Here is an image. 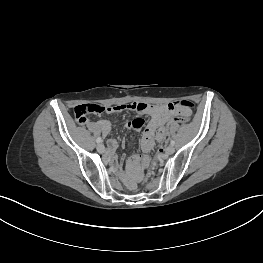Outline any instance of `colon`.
<instances>
[{"mask_svg": "<svg viewBox=\"0 0 263 263\" xmlns=\"http://www.w3.org/2000/svg\"><path fill=\"white\" fill-rule=\"evenodd\" d=\"M177 103H180L182 105L189 104L191 105L192 108L194 107L193 103L187 100L178 101ZM106 109L107 107H104L100 104H95V103L80 105L75 108V111H74L75 119L77 120V122L82 124L86 122L89 115L100 114V113L106 112ZM189 119H190L189 116H182L181 118L172 117L166 123L165 139H162L161 144L157 147V151L155 155H153V159L151 160L150 165H148V167L146 168L144 178H141V183H146V180H149L153 167H155V165L157 164L161 156V153L163 152L166 146L170 145L172 124L173 123L189 124Z\"/></svg>", "mask_w": 263, "mask_h": 263, "instance_id": "5ec220e1", "label": "colon"}]
</instances>
